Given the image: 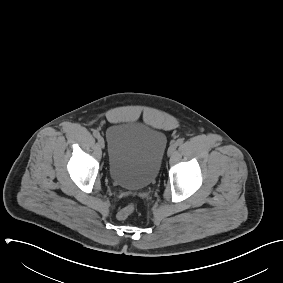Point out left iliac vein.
Returning <instances> with one entry per match:
<instances>
[{
	"mask_svg": "<svg viewBox=\"0 0 283 283\" xmlns=\"http://www.w3.org/2000/svg\"><path fill=\"white\" fill-rule=\"evenodd\" d=\"M176 148L177 144L175 142H172L167 151L168 156H172L175 153Z\"/></svg>",
	"mask_w": 283,
	"mask_h": 283,
	"instance_id": "left-iliac-vein-1",
	"label": "left iliac vein"
}]
</instances>
